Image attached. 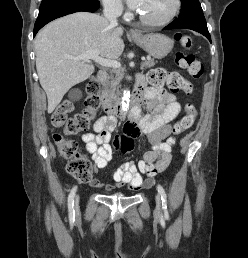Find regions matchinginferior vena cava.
<instances>
[{
  "instance_id": "602c4592",
  "label": "inferior vena cava",
  "mask_w": 248,
  "mask_h": 258,
  "mask_svg": "<svg viewBox=\"0 0 248 258\" xmlns=\"http://www.w3.org/2000/svg\"><path fill=\"white\" fill-rule=\"evenodd\" d=\"M103 15L109 21L111 27H116L118 25L117 17L119 11L116 6L110 3L104 4Z\"/></svg>"
}]
</instances>
